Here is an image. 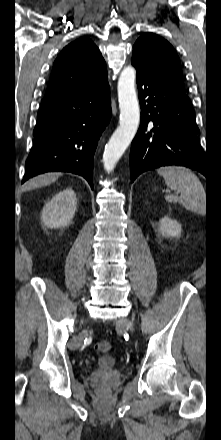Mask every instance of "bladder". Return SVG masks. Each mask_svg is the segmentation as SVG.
<instances>
[{
  "label": "bladder",
  "instance_id": "1",
  "mask_svg": "<svg viewBox=\"0 0 221 440\" xmlns=\"http://www.w3.org/2000/svg\"><path fill=\"white\" fill-rule=\"evenodd\" d=\"M116 359L111 355H103L98 358L97 365L101 368H111L115 366Z\"/></svg>",
  "mask_w": 221,
  "mask_h": 440
}]
</instances>
